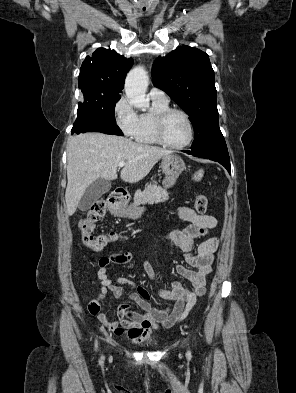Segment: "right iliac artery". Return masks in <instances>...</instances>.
<instances>
[{"mask_svg": "<svg viewBox=\"0 0 296 393\" xmlns=\"http://www.w3.org/2000/svg\"><path fill=\"white\" fill-rule=\"evenodd\" d=\"M95 348H97V341L95 342Z\"/></svg>", "mask_w": 296, "mask_h": 393, "instance_id": "obj_1", "label": "right iliac artery"}]
</instances>
